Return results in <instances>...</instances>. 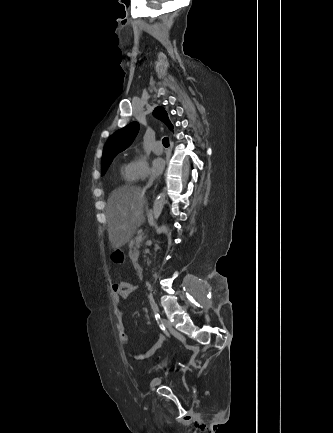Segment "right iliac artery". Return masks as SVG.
I'll use <instances>...</instances> for the list:
<instances>
[{
	"mask_svg": "<svg viewBox=\"0 0 333 433\" xmlns=\"http://www.w3.org/2000/svg\"><path fill=\"white\" fill-rule=\"evenodd\" d=\"M157 316H159V315H157ZM157 316H155V317L157 318ZM160 328L163 330V332L165 333L166 336L170 337V333L168 332V330L163 325H160Z\"/></svg>",
	"mask_w": 333,
	"mask_h": 433,
	"instance_id": "obj_1",
	"label": "right iliac artery"
}]
</instances>
